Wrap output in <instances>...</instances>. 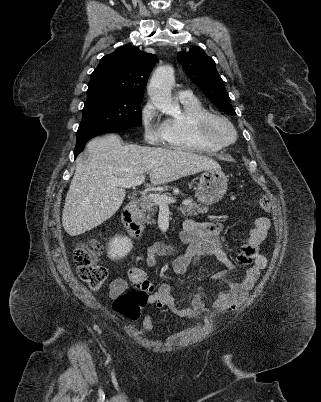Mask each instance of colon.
<instances>
[{"instance_id": "1", "label": "colon", "mask_w": 321, "mask_h": 402, "mask_svg": "<svg viewBox=\"0 0 321 402\" xmlns=\"http://www.w3.org/2000/svg\"><path fill=\"white\" fill-rule=\"evenodd\" d=\"M259 206L264 212H269L271 202L267 197L259 199ZM101 240L81 242L76 247L73 260L81 280L92 290H98L105 283L107 269L97 262V257L102 252ZM148 293L143 289L131 290L117 296L113 302L114 311L125 319L137 321L141 310L148 303Z\"/></svg>"}]
</instances>
